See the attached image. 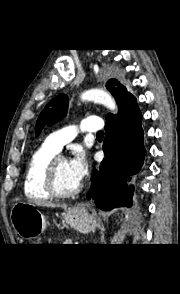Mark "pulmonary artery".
I'll use <instances>...</instances> for the list:
<instances>
[{"instance_id":"e3ab8cb5","label":"pulmonary artery","mask_w":180,"mask_h":294,"mask_svg":"<svg viewBox=\"0 0 180 294\" xmlns=\"http://www.w3.org/2000/svg\"><path fill=\"white\" fill-rule=\"evenodd\" d=\"M102 128V119L99 116H90L82 121L79 128L76 126H67L50 134L45 139L44 144L58 153L62 150L63 146L72 141L79 132H93Z\"/></svg>"}]
</instances>
